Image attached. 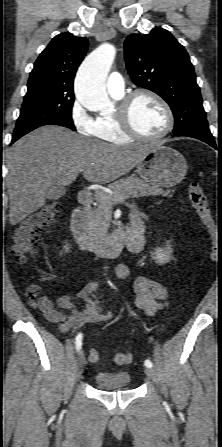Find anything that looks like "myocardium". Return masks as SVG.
Here are the masks:
<instances>
[{
	"label": "myocardium",
	"mask_w": 222,
	"mask_h": 447,
	"mask_svg": "<svg viewBox=\"0 0 222 447\" xmlns=\"http://www.w3.org/2000/svg\"><path fill=\"white\" fill-rule=\"evenodd\" d=\"M141 95H146L154 99L164 110L166 115V125L164 129L155 136H147L139 133L132 124L131 121V108L135 99ZM116 119L121 131L130 139L140 141V142H155L166 137L174 127V114L167 103V101L161 97L158 93L147 88L136 89L132 92L127 93L120 101Z\"/></svg>",
	"instance_id": "f54148a6"
}]
</instances>
